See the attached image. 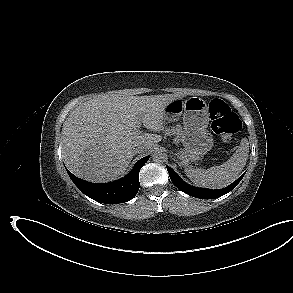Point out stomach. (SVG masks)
<instances>
[{
  "label": "stomach",
  "mask_w": 293,
  "mask_h": 293,
  "mask_svg": "<svg viewBox=\"0 0 293 293\" xmlns=\"http://www.w3.org/2000/svg\"><path fill=\"white\" fill-rule=\"evenodd\" d=\"M183 114L184 128L181 140L184 148L178 153L180 163L188 165L196 162L211 150L213 137L208 130L209 108L199 97H190L185 101L176 99L164 109V120H177Z\"/></svg>",
  "instance_id": "0dacf381"
}]
</instances>
